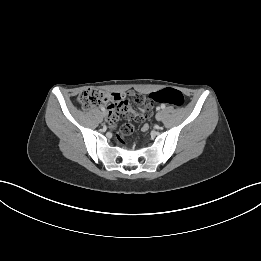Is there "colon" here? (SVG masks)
<instances>
[{
	"label": "colon",
	"mask_w": 261,
	"mask_h": 261,
	"mask_svg": "<svg viewBox=\"0 0 261 261\" xmlns=\"http://www.w3.org/2000/svg\"><path fill=\"white\" fill-rule=\"evenodd\" d=\"M154 98V102H165L175 107H182L185 99L183 94L173 88H166L149 95ZM79 104L84 109H91L98 105H107L109 108V121L114 124L120 115L128 111V101L118 93H108L96 88H88L82 91L77 98ZM133 132V126L125 123L119 129L120 137L128 136Z\"/></svg>",
	"instance_id": "1"
}]
</instances>
